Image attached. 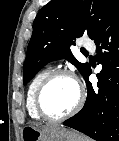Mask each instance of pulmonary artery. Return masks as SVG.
Wrapping results in <instances>:
<instances>
[{
    "label": "pulmonary artery",
    "instance_id": "1",
    "mask_svg": "<svg viewBox=\"0 0 119 141\" xmlns=\"http://www.w3.org/2000/svg\"><path fill=\"white\" fill-rule=\"evenodd\" d=\"M83 47L88 48V49H92L93 48V43L88 41V42H84L82 44Z\"/></svg>",
    "mask_w": 119,
    "mask_h": 141
}]
</instances>
